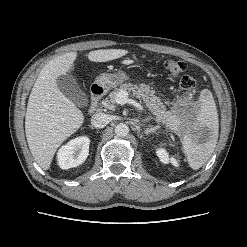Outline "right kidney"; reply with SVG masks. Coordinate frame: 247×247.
<instances>
[{
    "label": "right kidney",
    "mask_w": 247,
    "mask_h": 247,
    "mask_svg": "<svg viewBox=\"0 0 247 247\" xmlns=\"http://www.w3.org/2000/svg\"><path fill=\"white\" fill-rule=\"evenodd\" d=\"M90 139L87 136L77 137L63 145L57 153L58 165L67 170L82 164L89 154Z\"/></svg>",
    "instance_id": "ca27d5eb"
}]
</instances>
